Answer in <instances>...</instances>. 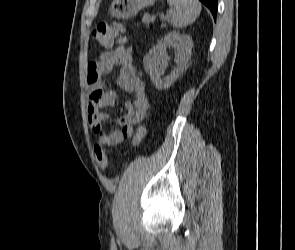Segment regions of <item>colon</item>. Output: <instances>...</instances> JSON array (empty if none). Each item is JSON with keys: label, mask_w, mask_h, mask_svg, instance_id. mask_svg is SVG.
<instances>
[{"label": "colon", "mask_w": 295, "mask_h": 250, "mask_svg": "<svg viewBox=\"0 0 295 250\" xmlns=\"http://www.w3.org/2000/svg\"><path fill=\"white\" fill-rule=\"evenodd\" d=\"M123 29L124 26L120 21H112L110 23L101 22L93 28L92 35L103 46H111L116 37L123 31ZM144 133V128L140 127L132 139L133 143L138 144L141 141ZM94 150L98 165L101 168H105L108 164V155L105 148L99 144H95Z\"/></svg>", "instance_id": "obj_1"}]
</instances>
